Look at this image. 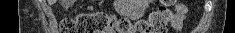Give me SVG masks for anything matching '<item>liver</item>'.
I'll use <instances>...</instances> for the list:
<instances>
[{
    "label": "liver",
    "mask_w": 235,
    "mask_h": 33,
    "mask_svg": "<svg viewBox=\"0 0 235 33\" xmlns=\"http://www.w3.org/2000/svg\"><path fill=\"white\" fill-rule=\"evenodd\" d=\"M48 2H49L50 4H52V3L55 2V0H48Z\"/></svg>",
    "instance_id": "obj_1"
}]
</instances>
